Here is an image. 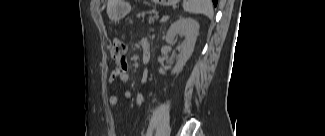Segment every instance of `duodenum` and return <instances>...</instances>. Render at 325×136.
<instances>
[{"label":"duodenum","mask_w":325,"mask_h":136,"mask_svg":"<svg viewBox=\"0 0 325 136\" xmlns=\"http://www.w3.org/2000/svg\"><path fill=\"white\" fill-rule=\"evenodd\" d=\"M145 41L146 40H143L142 42V58H143V62L147 63L149 61V48H148V43Z\"/></svg>","instance_id":"1"}]
</instances>
